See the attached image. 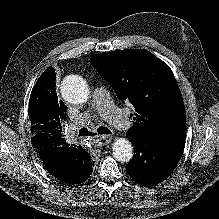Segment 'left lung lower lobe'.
<instances>
[{
    "label": "left lung lower lobe",
    "instance_id": "1",
    "mask_svg": "<svg viewBox=\"0 0 219 219\" xmlns=\"http://www.w3.org/2000/svg\"><path fill=\"white\" fill-rule=\"evenodd\" d=\"M134 145V157L126 172L138 184L150 187L167 179L179 162L183 147H169L146 138L127 135Z\"/></svg>",
    "mask_w": 219,
    "mask_h": 219
}]
</instances>
